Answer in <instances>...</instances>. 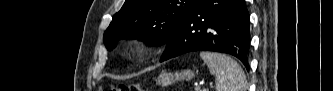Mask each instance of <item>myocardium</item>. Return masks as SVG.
I'll return each mask as SVG.
<instances>
[{"label": "myocardium", "mask_w": 333, "mask_h": 91, "mask_svg": "<svg viewBox=\"0 0 333 91\" xmlns=\"http://www.w3.org/2000/svg\"><path fill=\"white\" fill-rule=\"evenodd\" d=\"M125 52L132 59H141L152 52V44L145 37H134L127 43Z\"/></svg>", "instance_id": "f54148a6"}]
</instances>
